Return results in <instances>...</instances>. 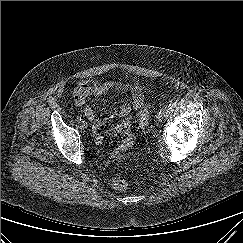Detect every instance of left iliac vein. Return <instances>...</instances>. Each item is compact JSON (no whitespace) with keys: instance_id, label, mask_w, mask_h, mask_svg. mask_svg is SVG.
I'll use <instances>...</instances> for the list:
<instances>
[{"instance_id":"left-iliac-vein-1","label":"left iliac vein","mask_w":243,"mask_h":243,"mask_svg":"<svg viewBox=\"0 0 243 243\" xmlns=\"http://www.w3.org/2000/svg\"><path fill=\"white\" fill-rule=\"evenodd\" d=\"M161 120H162V118L159 115H157L156 116V122H157V124H159L161 122Z\"/></svg>"}]
</instances>
